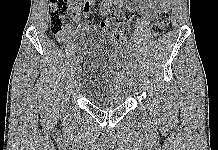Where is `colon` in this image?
Wrapping results in <instances>:
<instances>
[{
  "label": "colon",
  "mask_w": 218,
  "mask_h": 150,
  "mask_svg": "<svg viewBox=\"0 0 218 150\" xmlns=\"http://www.w3.org/2000/svg\"><path fill=\"white\" fill-rule=\"evenodd\" d=\"M72 0H51L50 1V29L55 35L62 31L63 22L71 12ZM169 11L161 9L156 14L152 25V33L154 36L163 34L169 24ZM124 17L121 13L116 12L110 18L100 22V28L106 33L110 34L115 40H123L126 37L127 29L120 28L123 25Z\"/></svg>",
  "instance_id": "1"
}]
</instances>
